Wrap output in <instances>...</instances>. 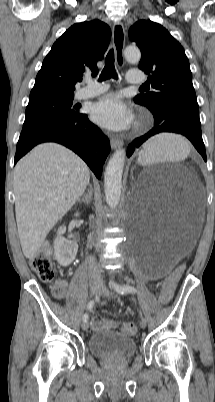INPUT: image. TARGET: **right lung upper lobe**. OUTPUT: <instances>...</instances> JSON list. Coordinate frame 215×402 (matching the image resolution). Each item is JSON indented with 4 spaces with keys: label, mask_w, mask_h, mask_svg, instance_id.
<instances>
[{
    "label": "right lung upper lobe",
    "mask_w": 215,
    "mask_h": 402,
    "mask_svg": "<svg viewBox=\"0 0 215 402\" xmlns=\"http://www.w3.org/2000/svg\"><path fill=\"white\" fill-rule=\"evenodd\" d=\"M111 38L109 26L99 20L71 26L52 46L38 72L30 98L73 95L75 84L86 72L98 73Z\"/></svg>",
    "instance_id": "1"
}]
</instances>
